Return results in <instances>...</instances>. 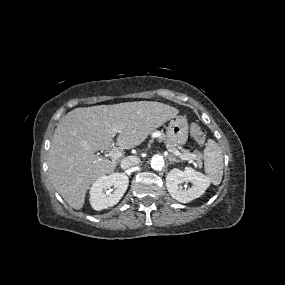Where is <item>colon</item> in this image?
Returning a JSON list of instances; mask_svg holds the SVG:
<instances>
[{"label":"colon","mask_w":285,"mask_h":285,"mask_svg":"<svg viewBox=\"0 0 285 285\" xmlns=\"http://www.w3.org/2000/svg\"><path fill=\"white\" fill-rule=\"evenodd\" d=\"M190 132L199 143H203L205 141L206 131L198 124L192 123L190 126Z\"/></svg>","instance_id":"obj_1"}]
</instances>
